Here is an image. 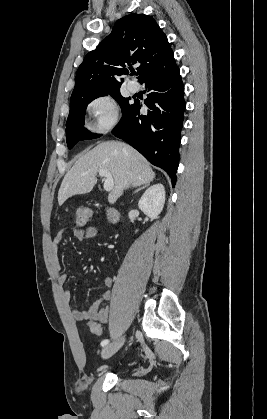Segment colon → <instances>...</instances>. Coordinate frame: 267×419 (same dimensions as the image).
Masks as SVG:
<instances>
[{
  "mask_svg": "<svg viewBox=\"0 0 267 419\" xmlns=\"http://www.w3.org/2000/svg\"><path fill=\"white\" fill-rule=\"evenodd\" d=\"M92 215V211L89 208H81L79 209L75 216H74V224L76 227H82L87 224L90 217ZM88 326L93 334L100 335L103 333V327L97 322H89Z\"/></svg>",
  "mask_w": 267,
  "mask_h": 419,
  "instance_id": "obj_1",
  "label": "colon"
}]
</instances>
